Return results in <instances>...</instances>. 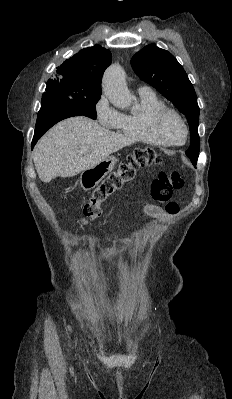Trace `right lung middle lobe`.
Masks as SVG:
<instances>
[{
	"label": "right lung middle lobe",
	"instance_id": "1",
	"mask_svg": "<svg viewBox=\"0 0 232 399\" xmlns=\"http://www.w3.org/2000/svg\"><path fill=\"white\" fill-rule=\"evenodd\" d=\"M102 92H90L71 88L56 82H47L46 93L42 96V102H60L84 113V115L96 119V103Z\"/></svg>",
	"mask_w": 232,
	"mask_h": 399
}]
</instances>
